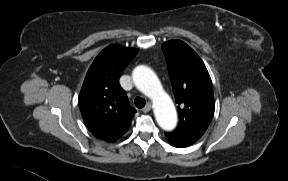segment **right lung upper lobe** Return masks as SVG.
<instances>
[{
    "instance_id": "1",
    "label": "right lung upper lobe",
    "mask_w": 288,
    "mask_h": 181,
    "mask_svg": "<svg viewBox=\"0 0 288 181\" xmlns=\"http://www.w3.org/2000/svg\"><path fill=\"white\" fill-rule=\"evenodd\" d=\"M137 52L135 48L110 45L98 54L87 72L79 108L86 126L99 139L115 142L130 126L136 110L118 81Z\"/></svg>"
}]
</instances>
